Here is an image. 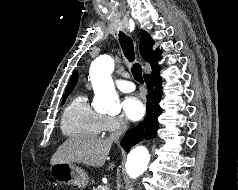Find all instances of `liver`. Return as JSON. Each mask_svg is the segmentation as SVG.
Segmentation results:
<instances>
[{"mask_svg":"<svg viewBox=\"0 0 238 190\" xmlns=\"http://www.w3.org/2000/svg\"><path fill=\"white\" fill-rule=\"evenodd\" d=\"M111 146L109 139L69 137L54 153L50 163H79L98 168L104 165ZM113 168L114 163H110L108 170Z\"/></svg>","mask_w":238,"mask_h":190,"instance_id":"6515ba94","label":"liver"}]
</instances>
